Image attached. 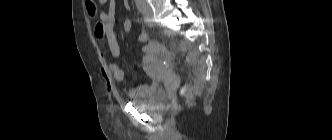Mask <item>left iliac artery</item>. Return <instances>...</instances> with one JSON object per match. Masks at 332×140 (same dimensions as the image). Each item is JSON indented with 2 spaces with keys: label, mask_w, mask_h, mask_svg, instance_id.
<instances>
[{
  "label": "left iliac artery",
  "mask_w": 332,
  "mask_h": 140,
  "mask_svg": "<svg viewBox=\"0 0 332 140\" xmlns=\"http://www.w3.org/2000/svg\"><path fill=\"white\" fill-rule=\"evenodd\" d=\"M135 3L137 5V8L140 12H143L144 8V0H135Z\"/></svg>",
  "instance_id": "obj_1"
}]
</instances>
